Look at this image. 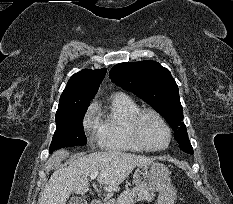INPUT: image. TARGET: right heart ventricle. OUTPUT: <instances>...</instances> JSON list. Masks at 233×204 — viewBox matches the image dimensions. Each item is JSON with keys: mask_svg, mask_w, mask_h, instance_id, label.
<instances>
[{"mask_svg": "<svg viewBox=\"0 0 233 204\" xmlns=\"http://www.w3.org/2000/svg\"><path fill=\"white\" fill-rule=\"evenodd\" d=\"M141 107L131 97L117 93L97 115L101 145L110 151H143L133 140L129 122Z\"/></svg>", "mask_w": 233, "mask_h": 204, "instance_id": "obj_1", "label": "right heart ventricle"}]
</instances>
